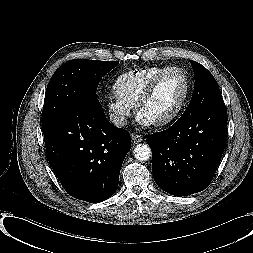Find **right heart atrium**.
<instances>
[{"mask_svg":"<svg viewBox=\"0 0 253 253\" xmlns=\"http://www.w3.org/2000/svg\"><path fill=\"white\" fill-rule=\"evenodd\" d=\"M106 107L110 116L118 125H124L133 111V106L119 98L117 95L107 98Z\"/></svg>","mask_w":253,"mask_h":253,"instance_id":"1","label":"right heart atrium"}]
</instances>
